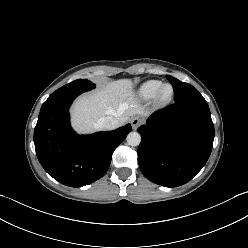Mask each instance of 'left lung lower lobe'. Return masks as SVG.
I'll return each instance as SVG.
<instances>
[{"instance_id": "1", "label": "left lung lower lobe", "mask_w": 248, "mask_h": 248, "mask_svg": "<svg viewBox=\"0 0 248 248\" xmlns=\"http://www.w3.org/2000/svg\"><path fill=\"white\" fill-rule=\"evenodd\" d=\"M138 131L142 136L140 169L150 181L165 187L190 181L207 162L214 140V125L203 97L155 112Z\"/></svg>"}]
</instances>
